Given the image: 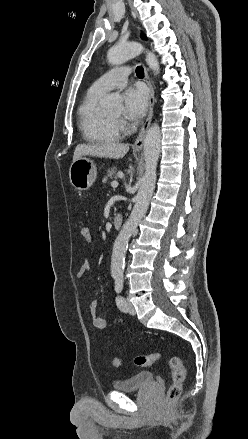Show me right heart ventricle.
I'll return each mask as SVG.
<instances>
[{
	"label": "right heart ventricle",
	"instance_id": "e07e8e85",
	"mask_svg": "<svg viewBox=\"0 0 248 439\" xmlns=\"http://www.w3.org/2000/svg\"><path fill=\"white\" fill-rule=\"evenodd\" d=\"M102 93L90 89L78 108L79 126L86 141L91 143H114L123 137L122 129L100 110Z\"/></svg>",
	"mask_w": 248,
	"mask_h": 439
}]
</instances>
